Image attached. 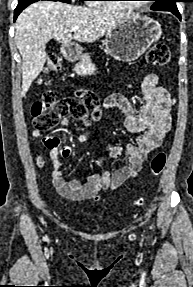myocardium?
Instances as JSON below:
<instances>
[{"instance_id": "obj_1", "label": "myocardium", "mask_w": 193, "mask_h": 287, "mask_svg": "<svg viewBox=\"0 0 193 287\" xmlns=\"http://www.w3.org/2000/svg\"><path fill=\"white\" fill-rule=\"evenodd\" d=\"M130 8H134L135 9V8H138V7L137 6H133V7H130Z\"/></svg>"}]
</instances>
